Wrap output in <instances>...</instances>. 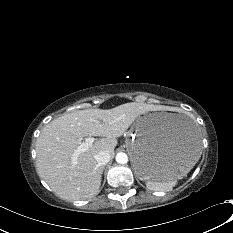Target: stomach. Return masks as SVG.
<instances>
[{
  "label": "stomach",
  "instance_id": "obj_1",
  "mask_svg": "<svg viewBox=\"0 0 233 233\" xmlns=\"http://www.w3.org/2000/svg\"><path fill=\"white\" fill-rule=\"evenodd\" d=\"M126 146L136 175L163 181L182 176L201 154L192 121L181 113H145L129 130Z\"/></svg>",
  "mask_w": 233,
  "mask_h": 233
}]
</instances>
